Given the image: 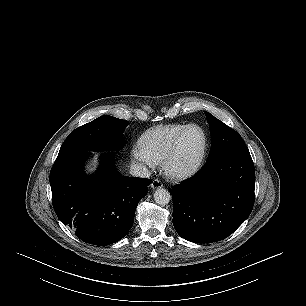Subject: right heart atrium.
<instances>
[{
    "label": "right heart atrium",
    "instance_id": "1",
    "mask_svg": "<svg viewBox=\"0 0 306 306\" xmlns=\"http://www.w3.org/2000/svg\"><path fill=\"white\" fill-rule=\"evenodd\" d=\"M132 160L144 169H153L156 161L142 148L134 147L131 150Z\"/></svg>",
    "mask_w": 306,
    "mask_h": 306
}]
</instances>
